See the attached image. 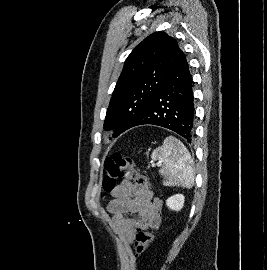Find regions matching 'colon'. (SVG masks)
<instances>
[{
  "label": "colon",
  "mask_w": 267,
  "mask_h": 270,
  "mask_svg": "<svg viewBox=\"0 0 267 270\" xmlns=\"http://www.w3.org/2000/svg\"><path fill=\"white\" fill-rule=\"evenodd\" d=\"M105 176L103 179V189L106 192H112L121 178L128 177L135 184L150 187L151 184L145 174L136 170L132 161L119 153H113L108 156L104 163ZM152 242V234L141 224L135 238V256H142L149 248Z\"/></svg>",
  "instance_id": "5ec220e1"
}]
</instances>
